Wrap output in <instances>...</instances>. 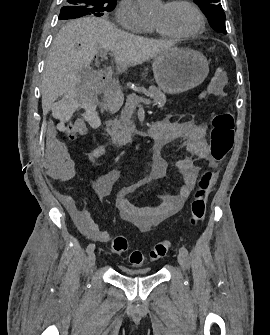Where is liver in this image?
<instances>
[{
    "label": "liver",
    "mask_w": 270,
    "mask_h": 335,
    "mask_svg": "<svg viewBox=\"0 0 270 335\" xmlns=\"http://www.w3.org/2000/svg\"><path fill=\"white\" fill-rule=\"evenodd\" d=\"M80 44V46H79ZM171 42L148 40L118 30L105 18H78L70 20L59 30L53 40L46 60L40 92L43 114L50 112L60 96L75 94L82 76L91 70L90 64L99 50L113 52L117 72H125L130 66L143 64L166 50H173Z\"/></svg>",
    "instance_id": "liver-1"
}]
</instances>
